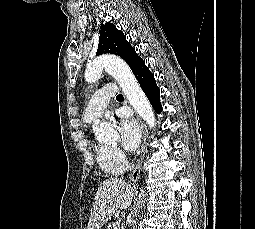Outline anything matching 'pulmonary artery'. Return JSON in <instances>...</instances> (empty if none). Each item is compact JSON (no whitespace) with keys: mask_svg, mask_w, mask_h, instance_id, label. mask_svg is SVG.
Wrapping results in <instances>:
<instances>
[{"mask_svg":"<svg viewBox=\"0 0 255 229\" xmlns=\"http://www.w3.org/2000/svg\"><path fill=\"white\" fill-rule=\"evenodd\" d=\"M116 93L117 88L111 83H108L101 89L95 91L84 113L85 122L89 124L96 123L101 118L104 110L107 108L109 99L115 96Z\"/></svg>","mask_w":255,"mask_h":229,"instance_id":"obj_1","label":"pulmonary artery"}]
</instances>
